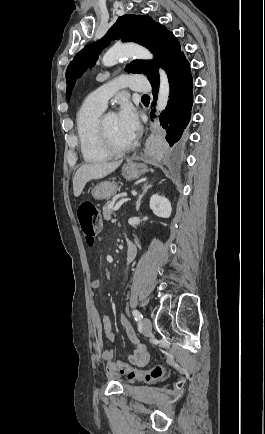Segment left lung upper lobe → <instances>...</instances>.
<instances>
[{
    "mask_svg": "<svg viewBox=\"0 0 265 434\" xmlns=\"http://www.w3.org/2000/svg\"><path fill=\"white\" fill-rule=\"evenodd\" d=\"M121 39L123 42H137L150 49L158 62L167 73L174 65L177 58L184 54L181 51L177 38L165 26L154 21L149 16L124 15L118 18L108 33L98 43L87 45L77 53L67 68V98L69 99L75 79L80 76L87 67H91L98 58L102 47L110 44L111 40ZM127 69L131 73H144L147 75L152 87L159 85L157 65L152 61L135 60Z\"/></svg>",
    "mask_w": 265,
    "mask_h": 434,
    "instance_id": "5c2ea615",
    "label": "left lung upper lobe"
}]
</instances>
